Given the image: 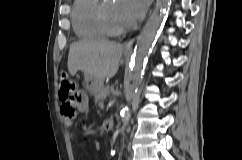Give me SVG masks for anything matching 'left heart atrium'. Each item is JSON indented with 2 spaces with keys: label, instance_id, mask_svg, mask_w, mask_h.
<instances>
[{
  "label": "left heart atrium",
  "instance_id": "1",
  "mask_svg": "<svg viewBox=\"0 0 242 160\" xmlns=\"http://www.w3.org/2000/svg\"><path fill=\"white\" fill-rule=\"evenodd\" d=\"M148 0H118L117 8L126 26H129L144 16Z\"/></svg>",
  "mask_w": 242,
  "mask_h": 160
}]
</instances>
